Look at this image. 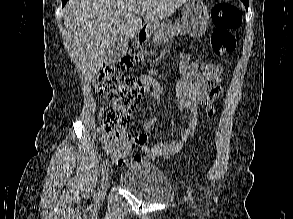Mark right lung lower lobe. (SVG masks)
Returning a JSON list of instances; mask_svg holds the SVG:
<instances>
[{"label": "right lung lower lobe", "mask_w": 293, "mask_h": 219, "mask_svg": "<svg viewBox=\"0 0 293 219\" xmlns=\"http://www.w3.org/2000/svg\"><path fill=\"white\" fill-rule=\"evenodd\" d=\"M67 0H63L62 6L66 4Z\"/></svg>", "instance_id": "98d812e1"}]
</instances>
